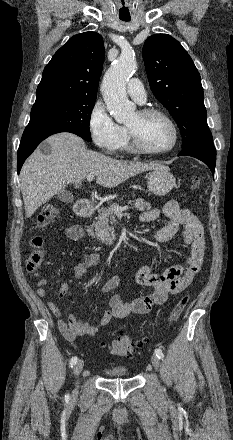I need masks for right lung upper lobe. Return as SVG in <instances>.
Segmentation results:
<instances>
[{
  "instance_id": "obj_1",
  "label": "right lung upper lobe",
  "mask_w": 233,
  "mask_h": 440,
  "mask_svg": "<svg viewBox=\"0 0 233 440\" xmlns=\"http://www.w3.org/2000/svg\"><path fill=\"white\" fill-rule=\"evenodd\" d=\"M104 55L100 34L71 37L45 67L35 103L57 97L96 99Z\"/></svg>"
}]
</instances>
